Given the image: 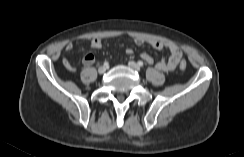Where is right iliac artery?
I'll list each match as a JSON object with an SVG mask.
<instances>
[{
    "label": "right iliac artery",
    "mask_w": 244,
    "mask_h": 157,
    "mask_svg": "<svg viewBox=\"0 0 244 157\" xmlns=\"http://www.w3.org/2000/svg\"><path fill=\"white\" fill-rule=\"evenodd\" d=\"M104 66H108V62L107 61L104 62Z\"/></svg>",
    "instance_id": "right-iliac-artery-1"
}]
</instances>
